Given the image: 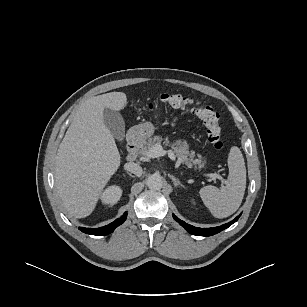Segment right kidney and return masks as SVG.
I'll list each match as a JSON object with an SVG mask.
<instances>
[{"mask_svg": "<svg viewBox=\"0 0 307 307\" xmlns=\"http://www.w3.org/2000/svg\"><path fill=\"white\" fill-rule=\"evenodd\" d=\"M122 196V189L120 186L111 185L105 189V191L101 194V201L103 204L114 205Z\"/></svg>", "mask_w": 307, "mask_h": 307, "instance_id": "obj_1", "label": "right kidney"}]
</instances>
